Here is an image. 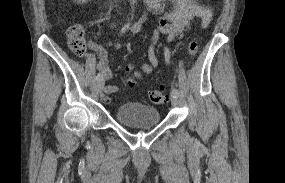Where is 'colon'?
<instances>
[{
  "label": "colon",
  "instance_id": "colon-1",
  "mask_svg": "<svg viewBox=\"0 0 285 183\" xmlns=\"http://www.w3.org/2000/svg\"><path fill=\"white\" fill-rule=\"evenodd\" d=\"M69 47L71 51L77 56H83L87 52V42L84 36V29L81 25H72L67 30ZM199 44L197 41L192 40L187 46V52L190 56H195L198 52ZM133 69L132 65L127 66V71ZM135 80L128 79V85L133 87L135 85ZM149 100L154 104H164L168 101V95L163 89L151 91L149 94Z\"/></svg>",
  "mask_w": 285,
  "mask_h": 183
}]
</instances>
